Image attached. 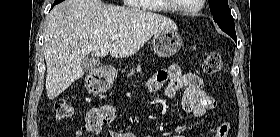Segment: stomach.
Masks as SVG:
<instances>
[{"instance_id": "0dacf381", "label": "stomach", "mask_w": 280, "mask_h": 137, "mask_svg": "<svg viewBox=\"0 0 280 137\" xmlns=\"http://www.w3.org/2000/svg\"><path fill=\"white\" fill-rule=\"evenodd\" d=\"M153 50L159 57H171L175 55L182 46V39L180 35L173 30H164L153 36ZM117 77V71L110 68L105 73L106 83L103 88L95 83H86L89 91L93 93H100L110 87Z\"/></svg>"}]
</instances>
